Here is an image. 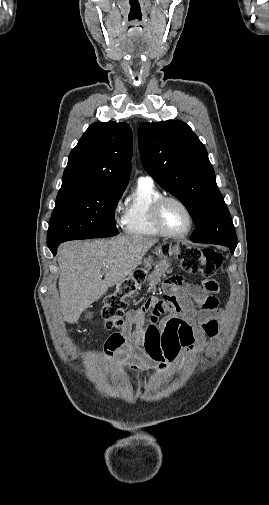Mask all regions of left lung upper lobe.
<instances>
[{"label": "left lung upper lobe", "instance_id": "5c2ea615", "mask_svg": "<svg viewBox=\"0 0 269 505\" xmlns=\"http://www.w3.org/2000/svg\"><path fill=\"white\" fill-rule=\"evenodd\" d=\"M138 144L144 169L189 210L196 225L192 241L237 245L228 208L205 146L182 121L142 123Z\"/></svg>", "mask_w": 269, "mask_h": 505}]
</instances>
